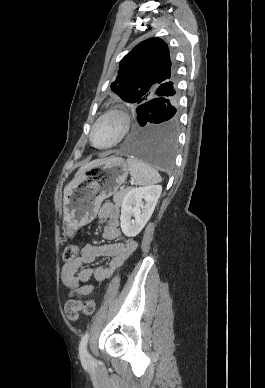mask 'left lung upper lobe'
<instances>
[{"instance_id": "obj_1", "label": "left lung upper lobe", "mask_w": 265, "mask_h": 388, "mask_svg": "<svg viewBox=\"0 0 265 388\" xmlns=\"http://www.w3.org/2000/svg\"><path fill=\"white\" fill-rule=\"evenodd\" d=\"M176 72L167 44L152 38L138 44L120 62L111 89L124 101L140 106L176 87Z\"/></svg>"}]
</instances>
